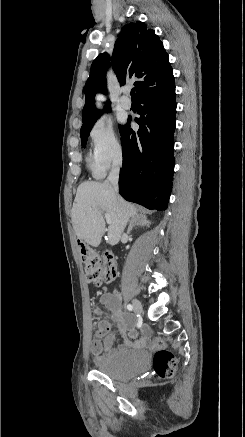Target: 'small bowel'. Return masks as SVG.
<instances>
[{"instance_id":"1","label":"small bowel","mask_w":245,"mask_h":437,"mask_svg":"<svg viewBox=\"0 0 245 437\" xmlns=\"http://www.w3.org/2000/svg\"><path fill=\"white\" fill-rule=\"evenodd\" d=\"M98 303L104 305L111 313V320L115 325L116 332L122 337L125 345H130L134 338L135 320L130 315L123 312L120 308L119 296L115 292L104 293L100 296ZM96 315H101L102 310L99 306L94 308ZM115 338L114 332L108 323L102 322L99 325L97 336L92 340L91 352L96 360H102L112 350V344ZM141 343V341H137Z\"/></svg>"}]
</instances>
